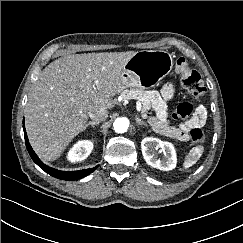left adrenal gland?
<instances>
[{"label":"left adrenal gland","mask_w":243,"mask_h":243,"mask_svg":"<svg viewBox=\"0 0 243 243\" xmlns=\"http://www.w3.org/2000/svg\"><path fill=\"white\" fill-rule=\"evenodd\" d=\"M135 121L137 123V125H145L147 126V124L141 120V118H139L138 116L135 117Z\"/></svg>","instance_id":"obj_1"}]
</instances>
